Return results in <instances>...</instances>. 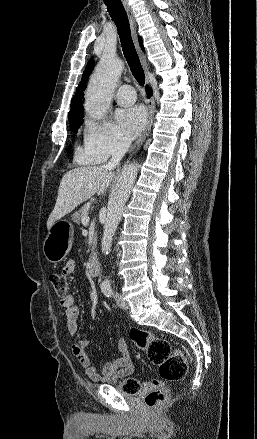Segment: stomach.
<instances>
[{
    "label": "stomach",
    "instance_id": "obj_1",
    "mask_svg": "<svg viewBox=\"0 0 257 439\" xmlns=\"http://www.w3.org/2000/svg\"><path fill=\"white\" fill-rule=\"evenodd\" d=\"M74 228L67 220L56 221L49 229L43 243V252L49 262L57 263L70 252Z\"/></svg>",
    "mask_w": 257,
    "mask_h": 439
}]
</instances>
